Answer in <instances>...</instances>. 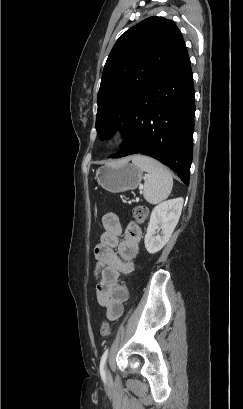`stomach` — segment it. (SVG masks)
<instances>
[{
    "label": "stomach",
    "mask_w": 243,
    "mask_h": 409,
    "mask_svg": "<svg viewBox=\"0 0 243 409\" xmlns=\"http://www.w3.org/2000/svg\"><path fill=\"white\" fill-rule=\"evenodd\" d=\"M95 179L105 190L120 193L136 189L142 180V170L122 160L96 169Z\"/></svg>",
    "instance_id": "stomach-1"
}]
</instances>
